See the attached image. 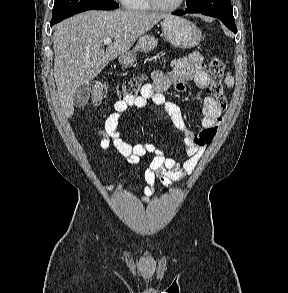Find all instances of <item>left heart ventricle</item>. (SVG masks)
I'll return each instance as SVG.
<instances>
[{"mask_svg": "<svg viewBox=\"0 0 288 293\" xmlns=\"http://www.w3.org/2000/svg\"><path fill=\"white\" fill-rule=\"evenodd\" d=\"M160 4L162 5H173L175 4L178 0H157Z\"/></svg>", "mask_w": 288, "mask_h": 293, "instance_id": "1", "label": "left heart ventricle"}]
</instances>
